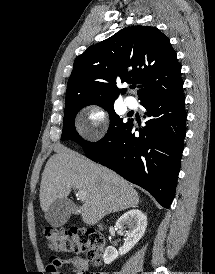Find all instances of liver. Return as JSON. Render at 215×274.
<instances>
[{
	"instance_id": "liver-1",
	"label": "liver",
	"mask_w": 215,
	"mask_h": 274,
	"mask_svg": "<svg viewBox=\"0 0 215 274\" xmlns=\"http://www.w3.org/2000/svg\"><path fill=\"white\" fill-rule=\"evenodd\" d=\"M71 188L85 191L81 217L94 225L104 216L138 205L137 191L112 170L93 163L86 157L60 148L45 165L40 185L43 211L57 199L66 198Z\"/></svg>"
}]
</instances>
